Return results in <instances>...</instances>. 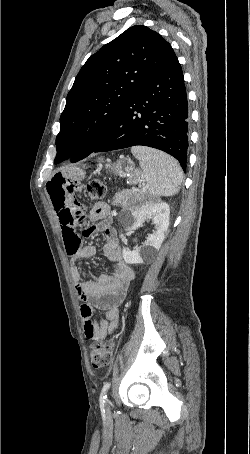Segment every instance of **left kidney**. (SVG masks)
Returning <instances> with one entry per match:
<instances>
[{
    "label": "left kidney",
    "mask_w": 250,
    "mask_h": 454,
    "mask_svg": "<svg viewBox=\"0 0 250 454\" xmlns=\"http://www.w3.org/2000/svg\"><path fill=\"white\" fill-rule=\"evenodd\" d=\"M170 208L165 202L150 203L146 202L141 207L132 212L133 223L127 229H136L145 222L152 220L155 225L152 234H149L145 243L134 250L123 247L122 255L126 263L140 264L145 258L153 257L160 249L165 238V233L169 227Z\"/></svg>",
    "instance_id": "obj_1"
}]
</instances>
